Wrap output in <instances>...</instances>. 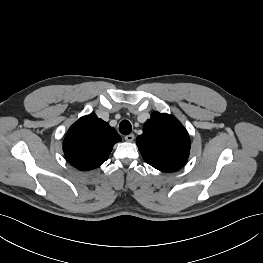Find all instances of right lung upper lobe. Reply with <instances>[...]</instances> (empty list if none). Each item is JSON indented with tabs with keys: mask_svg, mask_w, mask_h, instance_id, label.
<instances>
[{
	"mask_svg": "<svg viewBox=\"0 0 263 263\" xmlns=\"http://www.w3.org/2000/svg\"><path fill=\"white\" fill-rule=\"evenodd\" d=\"M121 137L109 124L94 113L81 117L73 124L63 143L67 160L79 170H92L108 159Z\"/></svg>",
	"mask_w": 263,
	"mask_h": 263,
	"instance_id": "cb5924a9",
	"label": "right lung upper lobe"
}]
</instances>
